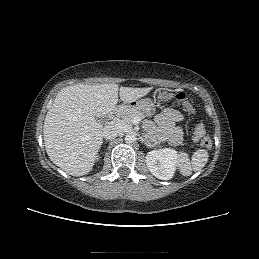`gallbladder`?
<instances>
[{
    "mask_svg": "<svg viewBox=\"0 0 259 259\" xmlns=\"http://www.w3.org/2000/svg\"><path fill=\"white\" fill-rule=\"evenodd\" d=\"M96 119H97L98 122H102L103 121L102 117H97Z\"/></svg>",
    "mask_w": 259,
    "mask_h": 259,
    "instance_id": "1",
    "label": "gallbladder"
}]
</instances>
